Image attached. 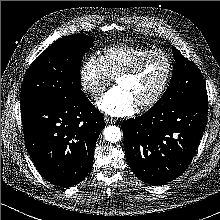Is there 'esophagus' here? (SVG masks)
Returning <instances> with one entry per match:
<instances>
[{"instance_id": "1", "label": "esophagus", "mask_w": 220, "mask_h": 220, "mask_svg": "<svg viewBox=\"0 0 220 220\" xmlns=\"http://www.w3.org/2000/svg\"><path fill=\"white\" fill-rule=\"evenodd\" d=\"M104 120H105V123H107V124H112L115 122V120L109 116H105Z\"/></svg>"}]
</instances>
